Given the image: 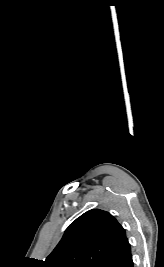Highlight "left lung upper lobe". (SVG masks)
I'll return each instance as SVG.
<instances>
[{"instance_id":"left-lung-upper-lobe-1","label":"left lung upper lobe","mask_w":164,"mask_h":267,"mask_svg":"<svg viewBox=\"0 0 164 267\" xmlns=\"http://www.w3.org/2000/svg\"><path fill=\"white\" fill-rule=\"evenodd\" d=\"M125 236V230L110 213L99 209L87 211L66 229L43 265L103 267Z\"/></svg>"}]
</instances>
